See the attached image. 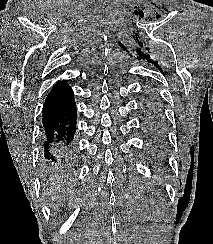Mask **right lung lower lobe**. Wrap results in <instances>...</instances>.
I'll return each mask as SVG.
<instances>
[{"instance_id": "right-lung-lower-lobe-1", "label": "right lung lower lobe", "mask_w": 213, "mask_h": 244, "mask_svg": "<svg viewBox=\"0 0 213 244\" xmlns=\"http://www.w3.org/2000/svg\"><path fill=\"white\" fill-rule=\"evenodd\" d=\"M44 157L52 162L69 161L76 154V105L71 87L58 81L42 110Z\"/></svg>"}]
</instances>
